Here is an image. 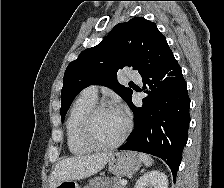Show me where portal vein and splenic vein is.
<instances>
[{
  "label": "portal vein and splenic vein",
  "instance_id": "portal-vein-and-splenic-vein-1",
  "mask_svg": "<svg viewBox=\"0 0 224 188\" xmlns=\"http://www.w3.org/2000/svg\"><path fill=\"white\" fill-rule=\"evenodd\" d=\"M120 184L127 185V180H125V179L120 180Z\"/></svg>",
  "mask_w": 224,
  "mask_h": 188
}]
</instances>
